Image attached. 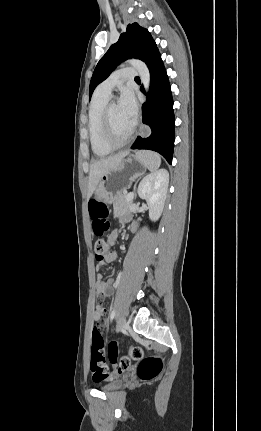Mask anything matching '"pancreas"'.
I'll return each instance as SVG.
<instances>
[{"mask_svg": "<svg viewBox=\"0 0 261 431\" xmlns=\"http://www.w3.org/2000/svg\"><path fill=\"white\" fill-rule=\"evenodd\" d=\"M127 194H119L115 197L113 201L114 214L118 215L123 212H127L131 205L133 204V200L127 201Z\"/></svg>", "mask_w": 261, "mask_h": 431, "instance_id": "pancreas-1", "label": "pancreas"}]
</instances>
